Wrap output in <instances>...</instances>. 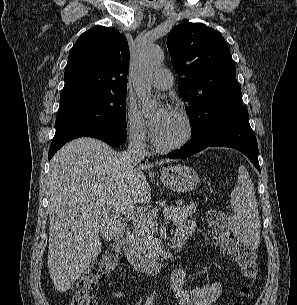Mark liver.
<instances>
[{"instance_id": "6515ba94", "label": "liver", "mask_w": 297, "mask_h": 305, "mask_svg": "<svg viewBox=\"0 0 297 305\" xmlns=\"http://www.w3.org/2000/svg\"><path fill=\"white\" fill-rule=\"evenodd\" d=\"M152 167L129 164L125 152L89 137L70 141L53 156L48 173V269L60 293L94 262L101 237L109 240L116 234L121 216L150 201L143 171Z\"/></svg>"}]
</instances>
